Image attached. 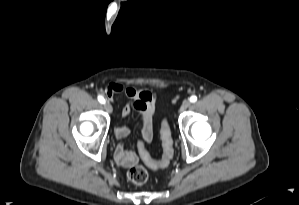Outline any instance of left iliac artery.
<instances>
[{
  "instance_id": "left-iliac-artery-1",
  "label": "left iliac artery",
  "mask_w": 299,
  "mask_h": 205,
  "mask_svg": "<svg viewBox=\"0 0 299 205\" xmlns=\"http://www.w3.org/2000/svg\"><path fill=\"white\" fill-rule=\"evenodd\" d=\"M197 101V97L195 95L190 97V102L194 103Z\"/></svg>"
}]
</instances>
